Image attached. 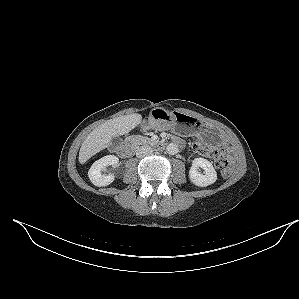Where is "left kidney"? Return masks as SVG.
I'll return each mask as SVG.
<instances>
[{
    "instance_id": "1",
    "label": "left kidney",
    "mask_w": 299,
    "mask_h": 299,
    "mask_svg": "<svg viewBox=\"0 0 299 299\" xmlns=\"http://www.w3.org/2000/svg\"><path fill=\"white\" fill-rule=\"evenodd\" d=\"M199 167L204 169V174L198 171ZM189 178L194 185L206 187L217 180V173L210 161L200 157L193 160L189 170Z\"/></svg>"
}]
</instances>
